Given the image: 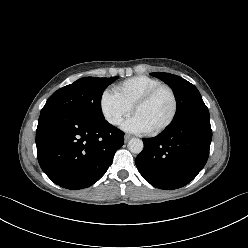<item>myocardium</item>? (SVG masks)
<instances>
[{
  "instance_id": "myocardium-1",
  "label": "myocardium",
  "mask_w": 248,
  "mask_h": 248,
  "mask_svg": "<svg viewBox=\"0 0 248 248\" xmlns=\"http://www.w3.org/2000/svg\"><path fill=\"white\" fill-rule=\"evenodd\" d=\"M162 90H166L169 92L171 98H172V111L171 114L169 115V117L167 118V120L161 124L160 126H158L157 128L150 130L148 133L151 135H157L161 132H163L165 129H167L172 122L174 121L177 112H178V99H177V95L175 93V91L173 90L172 87L166 85V84H160L154 88H152L151 90H149L147 93H145L143 96H141L133 105L132 110L135 113V111L147 104L149 101L152 100V98L159 93Z\"/></svg>"
}]
</instances>
